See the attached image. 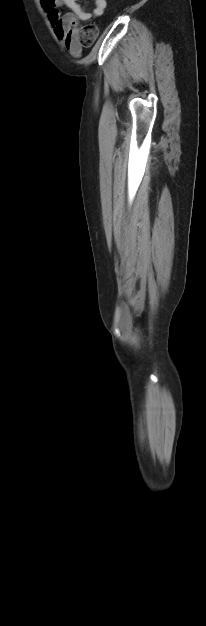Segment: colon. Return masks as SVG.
I'll list each match as a JSON object with an SVG mask.
<instances>
[{"mask_svg":"<svg viewBox=\"0 0 206 626\" xmlns=\"http://www.w3.org/2000/svg\"><path fill=\"white\" fill-rule=\"evenodd\" d=\"M98 36V27L94 24H87L80 30L79 40L82 46L90 47Z\"/></svg>","mask_w":206,"mask_h":626,"instance_id":"1","label":"colon"}]
</instances>
